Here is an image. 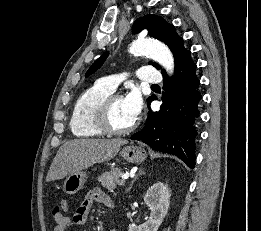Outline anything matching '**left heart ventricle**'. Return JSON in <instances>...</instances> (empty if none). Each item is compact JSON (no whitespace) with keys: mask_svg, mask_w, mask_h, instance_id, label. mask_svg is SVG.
<instances>
[{"mask_svg":"<svg viewBox=\"0 0 261 231\" xmlns=\"http://www.w3.org/2000/svg\"><path fill=\"white\" fill-rule=\"evenodd\" d=\"M111 121L117 128H126L135 121L125 104L124 98L114 102L111 109Z\"/></svg>","mask_w":261,"mask_h":231,"instance_id":"b2bd125f","label":"left heart ventricle"}]
</instances>
